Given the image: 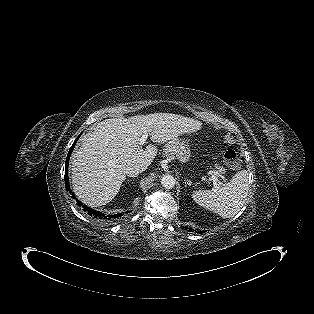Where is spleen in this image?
I'll use <instances>...</instances> for the list:
<instances>
[{
    "label": "spleen",
    "mask_w": 314,
    "mask_h": 314,
    "mask_svg": "<svg viewBox=\"0 0 314 314\" xmlns=\"http://www.w3.org/2000/svg\"><path fill=\"white\" fill-rule=\"evenodd\" d=\"M248 172L236 173L230 182L212 190L192 194L194 202L223 218H231L243 207L248 196Z\"/></svg>",
    "instance_id": "spleen-1"
}]
</instances>
